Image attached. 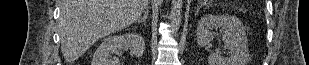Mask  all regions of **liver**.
Here are the masks:
<instances>
[{
  "instance_id": "obj_1",
  "label": "liver",
  "mask_w": 309,
  "mask_h": 65,
  "mask_svg": "<svg viewBox=\"0 0 309 65\" xmlns=\"http://www.w3.org/2000/svg\"><path fill=\"white\" fill-rule=\"evenodd\" d=\"M148 0H61L59 34L66 62L97 40L139 20Z\"/></svg>"
}]
</instances>
